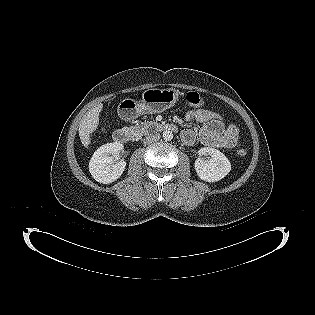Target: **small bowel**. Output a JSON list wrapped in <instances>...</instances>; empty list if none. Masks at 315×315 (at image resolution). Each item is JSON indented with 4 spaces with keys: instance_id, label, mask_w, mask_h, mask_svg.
<instances>
[{
    "instance_id": "1",
    "label": "small bowel",
    "mask_w": 315,
    "mask_h": 315,
    "mask_svg": "<svg viewBox=\"0 0 315 315\" xmlns=\"http://www.w3.org/2000/svg\"><path fill=\"white\" fill-rule=\"evenodd\" d=\"M187 121L201 123L199 132L186 129L182 133V140L186 145H193L197 140L202 144L215 148H235L239 144L238 128L228 123L218 112L196 108L187 112Z\"/></svg>"
}]
</instances>
